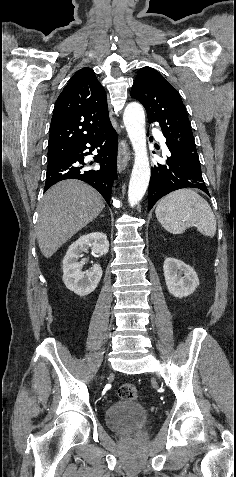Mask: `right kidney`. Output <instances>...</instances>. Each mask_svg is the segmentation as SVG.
I'll return each mask as SVG.
<instances>
[{
  "label": "right kidney",
  "mask_w": 236,
  "mask_h": 477,
  "mask_svg": "<svg viewBox=\"0 0 236 477\" xmlns=\"http://www.w3.org/2000/svg\"><path fill=\"white\" fill-rule=\"evenodd\" d=\"M88 247L98 255H105L109 250L107 236L100 232H94L80 237L67 250L63 259V282L65 286L79 296H86L93 292L102 277V269L99 264L83 272L82 262L78 259L83 257V252Z\"/></svg>",
  "instance_id": "obj_1"
}]
</instances>
